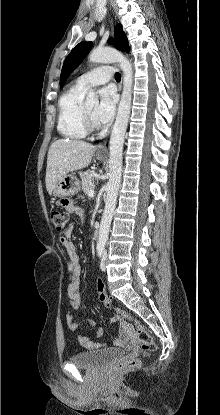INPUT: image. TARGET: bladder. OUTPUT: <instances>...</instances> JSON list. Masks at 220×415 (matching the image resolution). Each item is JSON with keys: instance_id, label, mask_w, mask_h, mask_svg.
<instances>
[{"instance_id": "bladder-1", "label": "bladder", "mask_w": 220, "mask_h": 415, "mask_svg": "<svg viewBox=\"0 0 220 415\" xmlns=\"http://www.w3.org/2000/svg\"><path fill=\"white\" fill-rule=\"evenodd\" d=\"M124 349L111 348L97 351H81L71 356L70 362L77 367L92 368L112 362L124 356Z\"/></svg>"}]
</instances>
